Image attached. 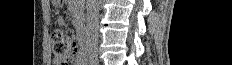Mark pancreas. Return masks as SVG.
I'll return each instance as SVG.
<instances>
[{
    "label": "pancreas",
    "instance_id": "1",
    "mask_svg": "<svg viewBox=\"0 0 232 65\" xmlns=\"http://www.w3.org/2000/svg\"><path fill=\"white\" fill-rule=\"evenodd\" d=\"M72 2H75V0H72ZM71 11H72L73 13H77L76 17L79 16V15H81L80 13H78V11H76V10L74 9L73 6H71ZM78 21H79V20H77V22H78ZM75 25L77 26V29H80V28H81L80 26H78L77 23H76Z\"/></svg>",
    "mask_w": 232,
    "mask_h": 65
}]
</instances>
